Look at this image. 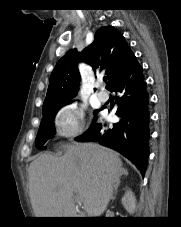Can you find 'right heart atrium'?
<instances>
[{
    "label": "right heart atrium",
    "mask_w": 181,
    "mask_h": 227,
    "mask_svg": "<svg viewBox=\"0 0 181 227\" xmlns=\"http://www.w3.org/2000/svg\"><path fill=\"white\" fill-rule=\"evenodd\" d=\"M57 133L63 138H74L85 129V111L75 102L63 105L57 112Z\"/></svg>",
    "instance_id": "1"
}]
</instances>
